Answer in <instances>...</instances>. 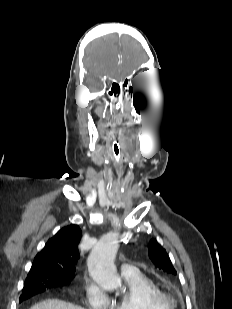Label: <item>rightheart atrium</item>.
<instances>
[{
	"mask_svg": "<svg viewBox=\"0 0 232 309\" xmlns=\"http://www.w3.org/2000/svg\"><path fill=\"white\" fill-rule=\"evenodd\" d=\"M85 293L87 302L93 309L109 308L110 299L95 282L90 280L86 282Z\"/></svg>",
	"mask_w": 232,
	"mask_h": 309,
	"instance_id": "right-heart-atrium-1",
	"label": "right heart atrium"
}]
</instances>
